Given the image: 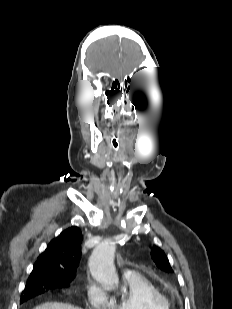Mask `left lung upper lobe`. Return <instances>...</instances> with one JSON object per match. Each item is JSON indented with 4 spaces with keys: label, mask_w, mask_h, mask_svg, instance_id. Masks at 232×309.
Here are the masks:
<instances>
[{
    "label": "left lung upper lobe",
    "mask_w": 232,
    "mask_h": 309,
    "mask_svg": "<svg viewBox=\"0 0 232 309\" xmlns=\"http://www.w3.org/2000/svg\"><path fill=\"white\" fill-rule=\"evenodd\" d=\"M152 258L155 262V264L162 270L166 271V272H173L170 264H169V260L167 258V256L165 255V253L159 249L158 247H154L153 251H152Z\"/></svg>",
    "instance_id": "left-lung-upper-lobe-1"
}]
</instances>
